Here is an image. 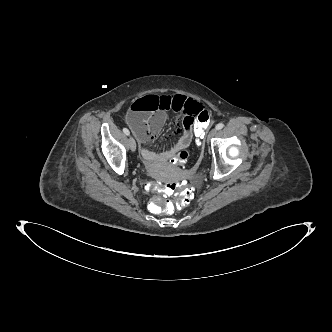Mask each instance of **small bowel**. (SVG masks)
I'll list each match as a JSON object with an SVG mask.
<instances>
[{"label":"small bowel","instance_id":"1","mask_svg":"<svg viewBox=\"0 0 332 332\" xmlns=\"http://www.w3.org/2000/svg\"><path fill=\"white\" fill-rule=\"evenodd\" d=\"M169 111L180 115L182 128L176 134L178 141H168L163 147V152L156 153L147 149L145 145L159 135ZM202 111L204 109L200 102L180 94L163 95L156 91L140 94L127 114V123L142 145L140 149L142 158L147 163H152L160 159L169 160L172 155H178L181 150H188L193 140L194 123Z\"/></svg>","mask_w":332,"mask_h":332}]
</instances>
